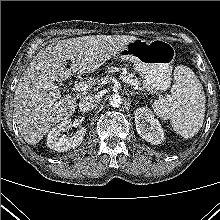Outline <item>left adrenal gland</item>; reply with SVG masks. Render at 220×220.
<instances>
[{
    "mask_svg": "<svg viewBox=\"0 0 220 220\" xmlns=\"http://www.w3.org/2000/svg\"><path fill=\"white\" fill-rule=\"evenodd\" d=\"M129 93L131 94V96H135L137 94V92L134 91H129Z\"/></svg>",
    "mask_w": 220,
    "mask_h": 220,
    "instance_id": "obj_1",
    "label": "left adrenal gland"
}]
</instances>
